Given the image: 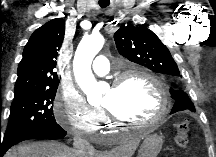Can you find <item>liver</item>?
Segmentation results:
<instances>
[{
    "instance_id": "liver-1",
    "label": "liver",
    "mask_w": 216,
    "mask_h": 157,
    "mask_svg": "<svg viewBox=\"0 0 216 157\" xmlns=\"http://www.w3.org/2000/svg\"><path fill=\"white\" fill-rule=\"evenodd\" d=\"M140 142L139 137H130L124 145L110 152H91L89 157H131ZM5 157H78L74 149L55 142H28L11 148Z\"/></svg>"
}]
</instances>
